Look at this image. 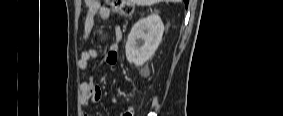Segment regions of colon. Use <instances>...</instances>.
<instances>
[{"label": "colon", "mask_w": 283, "mask_h": 116, "mask_svg": "<svg viewBox=\"0 0 283 116\" xmlns=\"http://www.w3.org/2000/svg\"><path fill=\"white\" fill-rule=\"evenodd\" d=\"M110 5L112 12L121 16H132L134 13L133 1L131 0H109L107 1ZM125 116H132L133 109L129 108L124 112Z\"/></svg>", "instance_id": "colon-1"}]
</instances>
